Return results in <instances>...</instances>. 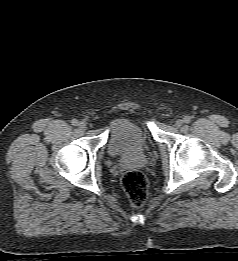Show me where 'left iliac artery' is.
Listing matches in <instances>:
<instances>
[{
    "mask_svg": "<svg viewBox=\"0 0 238 261\" xmlns=\"http://www.w3.org/2000/svg\"><path fill=\"white\" fill-rule=\"evenodd\" d=\"M183 120H184L185 123H190V122H191V117L185 116V117L183 118Z\"/></svg>",
    "mask_w": 238,
    "mask_h": 261,
    "instance_id": "1",
    "label": "left iliac artery"
}]
</instances>
